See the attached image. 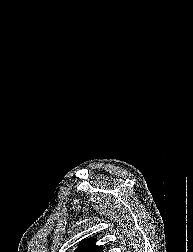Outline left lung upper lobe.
Returning <instances> with one entry per match:
<instances>
[{"label": "left lung upper lobe", "instance_id": "1", "mask_svg": "<svg viewBox=\"0 0 193 252\" xmlns=\"http://www.w3.org/2000/svg\"><path fill=\"white\" fill-rule=\"evenodd\" d=\"M94 238H87L81 241L75 252H102L100 246L95 245Z\"/></svg>", "mask_w": 193, "mask_h": 252}]
</instances>
